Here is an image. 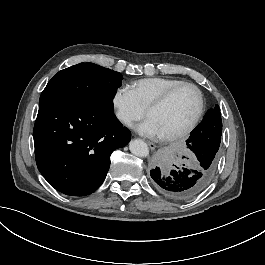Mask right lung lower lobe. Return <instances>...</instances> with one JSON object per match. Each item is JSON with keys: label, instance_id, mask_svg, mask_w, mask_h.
Wrapping results in <instances>:
<instances>
[{"label": "right lung lower lobe", "instance_id": "1", "mask_svg": "<svg viewBox=\"0 0 265 265\" xmlns=\"http://www.w3.org/2000/svg\"><path fill=\"white\" fill-rule=\"evenodd\" d=\"M130 139L112 111L56 98L39 101L34 125L37 167L66 195L94 192L107 175L111 153Z\"/></svg>", "mask_w": 265, "mask_h": 265}]
</instances>
